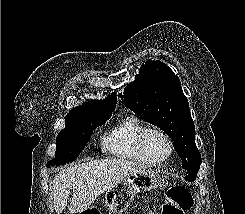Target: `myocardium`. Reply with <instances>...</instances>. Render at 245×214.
Here are the masks:
<instances>
[{
	"mask_svg": "<svg viewBox=\"0 0 245 214\" xmlns=\"http://www.w3.org/2000/svg\"><path fill=\"white\" fill-rule=\"evenodd\" d=\"M152 134H158V135L162 136L168 145V154L163 159L153 160L148 156L146 144H147V140H148L149 136ZM139 149H140V152H141L143 158L146 160V162L149 165L158 166V165L164 164L165 162H167L171 158V156L173 155V152H174V145H173L172 139L170 138V136L165 131H163L161 129H157V128H148L146 131H144L142 133V135L140 137Z\"/></svg>",
	"mask_w": 245,
	"mask_h": 214,
	"instance_id": "f54148a6",
	"label": "myocardium"
}]
</instances>
